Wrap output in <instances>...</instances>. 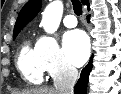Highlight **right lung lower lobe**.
Wrapping results in <instances>:
<instances>
[{
    "mask_svg": "<svg viewBox=\"0 0 121 94\" xmlns=\"http://www.w3.org/2000/svg\"><path fill=\"white\" fill-rule=\"evenodd\" d=\"M89 19H90V15L87 16L88 22H89ZM91 69H92V57L89 63L86 65V67L83 68L81 71L80 78L74 88L75 94H86L87 80Z\"/></svg>",
    "mask_w": 121,
    "mask_h": 94,
    "instance_id": "obj_1",
    "label": "right lung lower lobe"
}]
</instances>
